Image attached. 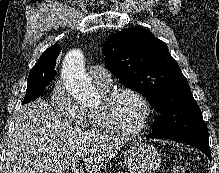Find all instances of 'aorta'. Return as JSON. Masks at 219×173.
<instances>
[{"label":"aorta","mask_w":219,"mask_h":173,"mask_svg":"<svg viewBox=\"0 0 219 173\" xmlns=\"http://www.w3.org/2000/svg\"><path fill=\"white\" fill-rule=\"evenodd\" d=\"M62 76L68 92L76 99L92 97L95 88L84 68L80 50H73L65 57Z\"/></svg>","instance_id":"obj_1"}]
</instances>
